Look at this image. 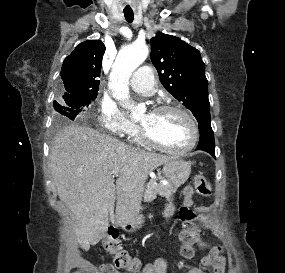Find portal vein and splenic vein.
<instances>
[{
    "label": "portal vein and splenic vein",
    "instance_id": "obj_1",
    "mask_svg": "<svg viewBox=\"0 0 285 273\" xmlns=\"http://www.w3.org/2000/svg\"><path fill=\"white\" fill-rule=\"evenodd\" d=\"M119 172H120V169H119V168H115V169H113V170L111 171V175H112L113 177H116V176H118Z\"/></svg>",
    "mask_w": 285,
    "mask_h": 273
}]
</instances>
